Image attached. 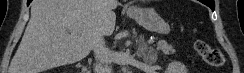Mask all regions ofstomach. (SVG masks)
<instances>
[{
  "instance_id": "obj_1",
  "label": "stomach",
  "mask_w": 244,
  "mask_h": 73,
  "mask_svg": "<svg viewBox=\"0 0 244 73\" xmlns=\"http://www.w3.org/2000/svg\"><path fill=\"white\" fill-rule=\"evenodd\" d=\"M127 14L150 32L166 35L171 30L169 23L154 9L135 7L129 10Z\"/></svg>"
}]
</instances>
